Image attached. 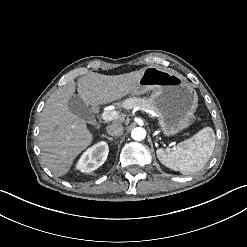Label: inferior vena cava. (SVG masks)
<instances>
[{
  "label": "inferior vena cava",
  "mask_w": 247,
  "mask_h": 247,
  "mask_svg": "<svg viewBox=\"0 0 247 247\" xmlns=\"http://www.w3.org/2000/svg\"><path fill=\"white\" fill-rule=\"evenodd\" d=\"M107 133L111 136H121L124 133V126L121 123L113 122L107 126Z\"/></svg>",
  "instance_id": "1"
}]
</instances>
